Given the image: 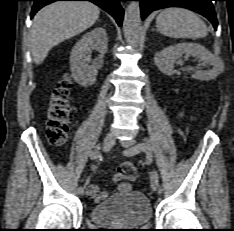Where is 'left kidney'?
Listing matches in <instances>:
<instances>
[{
  "mask_svg": "<svg viewBox=\"0 0 234 231\" xmlns=\"http://www.w3.org/2000/svg\"><path fill=\"white\" fill-rule=\"evenodd\" d=\"M192 55L200 61L213 66L208 71H196L192 77L201 81L215 79L224 71V63L221 58L213 55L208 49L197 43H179L164 48L154 56V63L158 69L166 75L174 73V63L183 55Z\"/></svg>",
  "mask_w": 234,
  "mask_h": 231,
  "instance_id": "obj_1",
  "label": "left kidney"
}]
</instances>
